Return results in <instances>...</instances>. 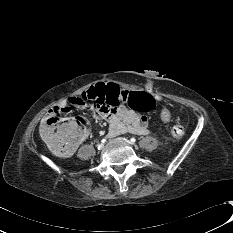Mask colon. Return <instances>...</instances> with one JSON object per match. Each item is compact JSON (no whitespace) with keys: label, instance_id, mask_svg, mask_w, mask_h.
Wrapping results in <instances>:
<instances>
[{"label":"colon","instance_id":"1","mask_svg":"<svg viewBox=\"0 0 233 233\" xmlns=\"http://www.w3.org/2000/svg\"><path fill=\"white\" fill-rule=\"evenodd\" d=\"M81 98L87 101L92 108L96 104L103 103L115 107H128L144 114L152 112L156 104L151 94L128 90L125 85L110 80L94 83ZM69 110L70 107L54 109L44 118L40 128L43 139L59 157H69L76 144L82 141L88 133L87 122L84 119L75 118L64 122L60 118L61 113ZM170 117L171 110L163 108L160 112V118L167 121ZM169 132L176 139L182 138L185 134L183 126L178 124L172 125Z\"/></svg>","mask_w":233,"mask_h":233}]
</instances>
